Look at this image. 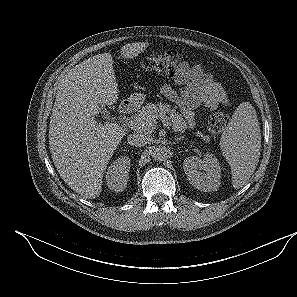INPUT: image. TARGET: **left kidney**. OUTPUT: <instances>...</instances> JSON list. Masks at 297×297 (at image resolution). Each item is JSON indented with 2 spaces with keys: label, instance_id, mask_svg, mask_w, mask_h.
<instances>
[{
  "label": "left kidney",
  "instance_id": "left-kidney-1",
  "mask_svg": "<svg viewBox=\"0 0 297 297\" xmlns=\"http://www.w3.org/2000/svg\"><path fill=\"white\" fill-rule=\"evenodd\" d=\"M183 169L189 182L198 190L211 192L220 186L221 168L213 154L206 153L203 159L197 156L187 157L183 161Z\"/></svg>",
  "mask_w": 297,
  "mask_h": 297
}]
</instances>
